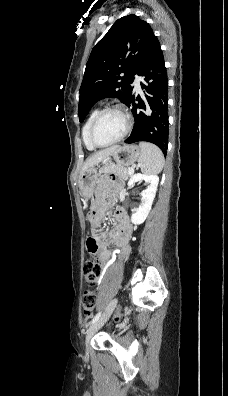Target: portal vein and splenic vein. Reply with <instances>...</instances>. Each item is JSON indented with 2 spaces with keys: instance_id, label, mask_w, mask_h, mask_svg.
Instances as JSON below:
<instances>
[{
  "instance_id": "obj_1",
  "label": "portal vein and splenic vein",
  "mask_w": 228,
  "mask_h": 396,
  "mask_svg": "<svg viewBox=\"0 0 228 396\" xmlns=\"http://www.w3.org/2000/svg\"><path fill=\"white\" fill-rule=\"evenodd\" d=\"M129 172L133 173L134 172L133 168H129Z\"/></svg>"
}]
</instances>
